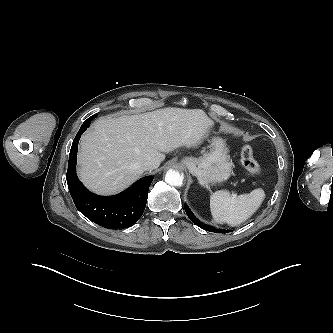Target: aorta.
I'll use <instances>...</instances> for the list:
<instances>
[{
  "mask_svg": "<svg viewBox=\"0 0 333 333\" xmlns=\"http://www.w3.org/2000/svg\"><path fill=\"white\" fill-rule=\"evenodd\" d=\"M183 175L175 170H168L165 175V181L171 186H181L183 183Z\"/></svg>",
  "mask_w": 333,
  "mask_h": 333,
  "instance_id": "1",
  "label": "aorta"
}]
</instances>
